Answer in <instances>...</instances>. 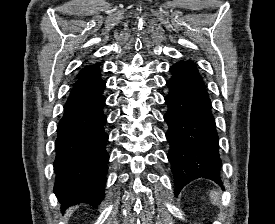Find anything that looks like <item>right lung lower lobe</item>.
<instances>
[{"mask_svg": "<svg viewBox=\"0 0 275 224\" xmlns=\"http://www.w3.org/2000/svg\"><path fill=\"white\" fill-rule=\"evenodd\" d=\"M105 87L100 73L78 79L58 123L54 192L63 208L79 203L96 207L104 198L109 160Z\"/></svg>", "mask_w": 275, "mask_h": 224, "instance_id": "1", "label": "right lung lower lobe"}]
</instances>
